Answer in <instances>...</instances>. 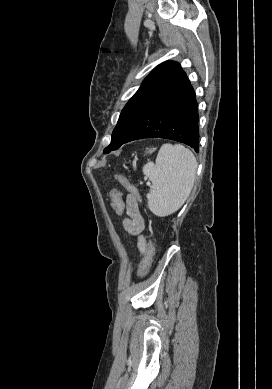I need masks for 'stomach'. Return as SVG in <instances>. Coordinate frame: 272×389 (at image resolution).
Masks as SVG:
<instances>
[{
  "label": "stomach",
  "mask_w": 272,
  "mask_h": 389,
  "mask_svg": "<svg viewBox=\"0 0 272 389\" xmlns=\"http://www.w3.org/2000/svg\"><path fill=\"white\" fill-rule=\"evenodd\" d=\"M153 151H154V149H149V150L147 151V154H151Z\"/></svg>",
  "instance_id": "0dacf381"
}]
</instances>
